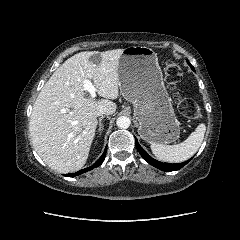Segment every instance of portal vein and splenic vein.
I'll list each match as a JSON object with an SVG mask.
<instances>
[{"mask_svg": "<svg viewBox=\"0 0 240 240\" xmlns=\"http://www.w3.org/2000/svg\"><path fill=\"white\" fill-rule=\"evenodd\" d=\"M83 87H84V90H86L90 93V96L92 98L96 97V92L98 90L96 89V87L93 85V83L90 80H88V79L84 80Z\"/></svg>", "mask_w": 240, "mask_h": 240, "instance_id": "18ae733b", "label": "portal vein and splenic vein"}]
</instances>
